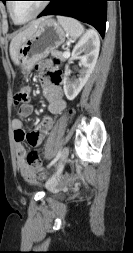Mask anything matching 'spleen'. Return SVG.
I'll return each instance as SVG.
<instances>
[{
    "label": "spleen",
    "mask_w": 133,
    "mask_h": 253,
    "mask_svg": "<svg viewBox=\"0 0 133 253\" xmlns=\"http://www.w3.org/2000/svg\"><path fill=\"white\" fill-rule=\"evenodd\" d=\"M57 19L71 39H77L84 33V27L79 21L65 16H57Z\"/></svg>",
    "instance_id": "spleen-1"
}]
</instances>
